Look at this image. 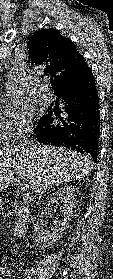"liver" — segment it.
<instances>
[{
  "instance_id": "obj_1",
  "label": "liver",
  "mask_w": 113,
  "mask_h": 279,
  "mask_svg": "<svg viewBox=\"0 0 113 279\" xmlns=\"http://www.w3.org/2000/svg\"><path fill=\"white\" fill-rule=\"evenodd\" d=\"M94 164L90 156L63 147L7 145L0 149V192L13 184V174L42 193L63 182L86 177Z\"/></svg>"
}]
</instances>
